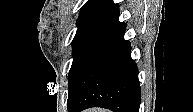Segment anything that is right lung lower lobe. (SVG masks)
Returning a JSON list of instances; mask_svg holds the SVG:
<instances>
[{"label": "right lung lower lobe", "instance_id": "98d812e1", "mask_svg": "<svg viewBox=\"0 0 193 112\" xmlns=\"http://www.w3.org/2000/svg\"><path fill=\"white\" fill-rule=\"evenodd\" d=\"M124 33H117L85 66L69 93L68 112L90 107L139 112L138 69Z\"/></svg>", "mask_w": 193, "mask_h": 112}]
</instances>
